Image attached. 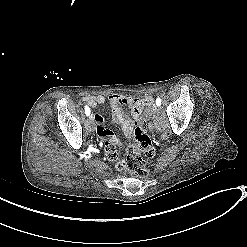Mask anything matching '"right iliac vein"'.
<instances>
[{"mask_svg": "<svg viewBox=\"0 0 247 247\" xmlns=\"http://www.w3.org/2000/svg\"><path fill=\"white\" fill-rule=\"evenodd\" d=\"M92 119H93V115L91 114V115H90V120H92Z\"/></svg>", "mask_w": 247, "mask_h": 247, "instance_id": "right-iliac-vein-1", "label": "right iliac vein"}]
</instances>
